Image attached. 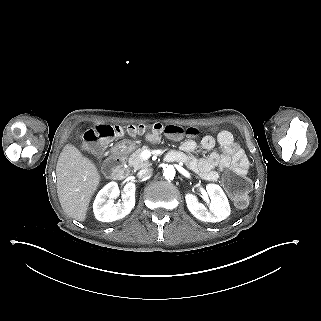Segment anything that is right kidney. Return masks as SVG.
<instances>
[{
  "label": "right kidney",
  "mask_w": 321,
  "mask_h": 321,
  "mask_svg": "<svg viewBox=\"0 0 321 321\" xmlns=\"http://www.w3.org/2000/svg\"><path fill=\"white\" fill-rule=\"evenodd\" d=\"M134 182H128L122 189L124 200L120 207H116L114 200L120 196V189L116 182H110L97 194L93 210L96 218L102 222H112L124 218L135 207Z\"/></svg>",
  "instance_id": "obj_1"
}]
</instances>
